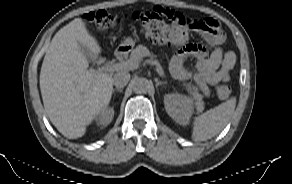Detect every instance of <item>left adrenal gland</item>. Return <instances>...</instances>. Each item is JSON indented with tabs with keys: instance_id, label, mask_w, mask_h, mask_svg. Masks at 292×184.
Returning a JSON list of instances; mask_svg holds the SVG:
<instances>
[{
	"instance_id": "1",
	"label": "left adrenal gland",
	"mask_w": 292,
	"mask_h": 184,
	"mask_svg": "<svg viewBox=\"0 0 292 184\" xmlns=\"http://www.w3.org/2000/svg\"><path fill=\"white\" fill-rule=\"evenodd\" d=\"M155 82H156V87H158L159 85L167 84V81H159L157 78L155 79Z\"/></svg>"
}]
</instances>
